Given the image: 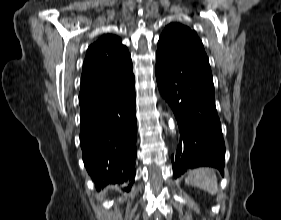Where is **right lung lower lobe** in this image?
<instances>
[{
  "label": "right lung lower lobe",
  "instance_id": "right-lung-lower-lobe-1",
  "mask_svg": "<svg viewBox=\"0 0 281 220\" xmlns=\"http://www.w3.org/2000/svg\"><path fill=\"white\" fill-rule=\"evenodd\" d=\"M135 81L79 100L84 165L98 188L126 184L135 176L137 122Z\"/></svg>",
  "mask_w": 281,
  "mask_h": 220
}]
</instances>
